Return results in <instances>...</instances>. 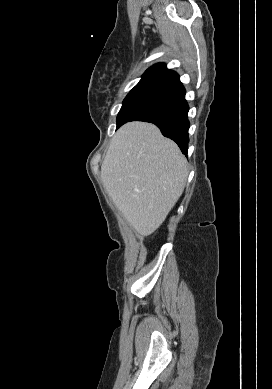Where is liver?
Instances as JSON below:
<instances>
[{
    "mask_svg": "<svg viewBox=\"0 0 272 389\" xmlns=\"http://www.w3.org/2000/svg\"><path fill=\"white\" fill-rule=\"evenodd\" d=\"M187 177V160L178 146L144 122L127 123L116 132L101 166L108 195L143 236L163 223Z\"/></svg>",
    "mask_w": 272,
    "mask_h": 389,
    "instance_id": "obj_1",
    "label": "liver"
}]
</instances>
